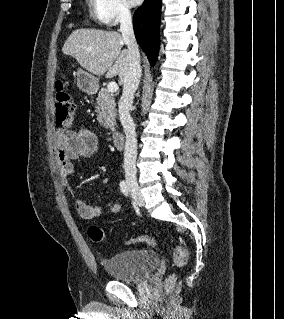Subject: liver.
<instances>
[{"label":"liver","mask_w":284,"mask_h":319,"mask_svg":"<svg viewBox=\"0 0 284 319\" xmlns=\"http://www.w3.org/2000/svg\"><path fill=\"white\" fill-rule=\"evenodd\" d=\"M125 42L116 31L77 29L65 41L62 52L73 56L89 73L107 78L119 76L123 84L129 67L128 50H122Z\"/></svg>","instance_id":"obj_1"}]
</instances>
